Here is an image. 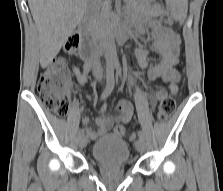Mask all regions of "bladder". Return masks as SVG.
Returning <instances> with one entry per match:
<instances>
[{"label": "bladder", "mask_w": 223, "mask_h": 191, "mask_svg": "<svg viewBox=\"0 0 223 191\" xmlns=\"http://www.w3.org/2000/svg\"><path fill=\"white\" fill-rule=\"evenodd\" d=\"M93 160L105 166L125 165L130 162L128 143L119 136L109 134L97 140L91 147Z\"/></svg>", "instance_id": "bladder-1"}]
</instances>
